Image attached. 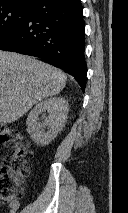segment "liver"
Here are the masks:
<instances>
[{"instance_id": "1", "label": "liver", "mask_w": 128, "mask_h": 213, "mask_svg": "<svg viewBox=\"0 0 128 213\" xmlns=\"http://www.w3.org/2000/svg\"><path fill=\"white\" fill-rule=\"evenodd\" d=\"M66 75L33 57L0 50V123H12L35 103L59 94Z\"/></svg>"}]
</instances>
